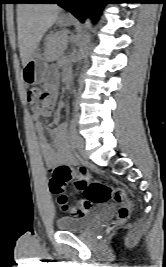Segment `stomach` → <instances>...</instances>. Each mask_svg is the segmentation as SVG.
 I'll use <instances>...</instances> for the list:
<instances>
[{
  "instance_id": "1",
  "label": "stomach",
  "mask_w": 166,
  "mask_h": 267,
  "mask_svg": "<svg viewBox=\"0 0 166 267\" xmlns=\"http://www.w3.org/2000/svg\"><path fill=\"white\" fill-rule=\"evenodd\" d=\"M71 22V19L63 16L59 17L57 20V23L60 26H68L71 24ZM47 70L48 65L46 60L39 53V50H36L23 67L22 78L28 85L44 83L46 81Z\"/></svg>"
}]
</instances>
